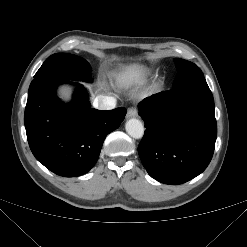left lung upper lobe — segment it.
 Returning <instances> with one entry per match:
<instances>
[{"label":"left lung upper lobe","mask_w":247,"mask_h":247,"mask_svg":"<svg viewBox=\"0 0 247 247\" xmlns=\"http://www.w3.org/2000/svg\"><path fill=\"white\" fill-rule=\"evenodd\" d=\"M178 74L174 80L172 89H185L196 86H208L202 71L194 63L184 59L175 60Z\"/></svg>","instance_id":"5c2ea615"}]
</instances>
